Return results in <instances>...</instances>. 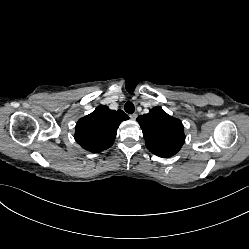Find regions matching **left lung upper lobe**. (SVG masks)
Listing matches in <instances>:
<instances>
[{
    "label": "left lung upper lobe",
    "mask_w": 249,
    "mask_h": 249,
    "mask_svg": "<svg viewBox=\"0 0 249 249\" xmlns=\"http://www.w3.org/2000/svg\"><path fill=\"white\" fill-rule=\"evenodd\" d=\"M137 121L143 131L146 147L159 157L175 155L184 144L182 122L159 106L152 108L148 114L138 116Z\"/></svg>",
    "instance_id": "5c2ea615"
}]
</instances>
